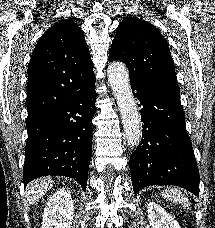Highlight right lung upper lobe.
Wrapping results in <instances>:
<instances>
[{"instance_id": "1", "label": "right lung upper lobe", "mask_w": 215, "mask_h": 228, "mask_svg": "<svg viewBox=\"0 0 215 228\" xmlns=\"http://www.w3.org/2000/svg\"><path fill=\"white\" fill-rule=\"evenodd\" d=\"M81 29L70 19L50 27L33 50L28 67L27 121L62 103L71 84L93 75Z\"/></svg>"}]
</instances>
